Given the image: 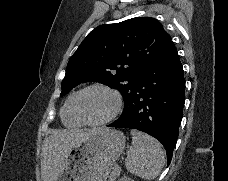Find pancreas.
<instances>
[{"instance_id": "pancreas-1", "label": "pancreas", "mask_w": 228, "mask_h": 181, "mask_svg": "<svg viewBox=\"0 0 228 181\" xmlns=\"http://www.w3.org/2000/svg\"><path fill=\"white\" fill-rule=\"evenodd\" d=\"M120 175V169H113L112 173H110L109 175V179L108 181H115V179H117V177H119Z\"/></svg>"}]
</instances>
